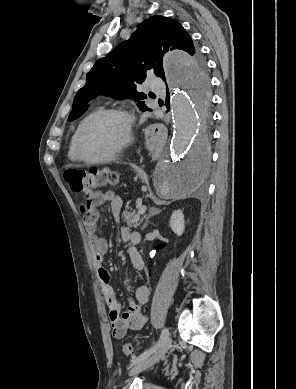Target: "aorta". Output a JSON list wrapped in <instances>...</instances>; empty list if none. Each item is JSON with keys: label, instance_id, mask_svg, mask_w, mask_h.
Returning a JSON list of instances; mask_svg holds the SVG:
<instances>
[{"label": "aorta", "instance_id": "obj_1", "mask_svg": "<svg viewBox=\"0 0 296 389\" xmlns=\"http://www.w3.org/2000/svg\"><path fill=\"white\" fill-rule=\"evenodd\" d=\"M190 61V56L181 50L168 52L164 58L174 131L166 151L167 162L157 171L155 191L167 198L202 189L205 167L211 163V141L206 134L209 76L205 67H191Z\"/></svg>", "mask_w": 296, "mask_h": 389}]
</instances>
